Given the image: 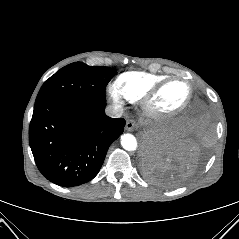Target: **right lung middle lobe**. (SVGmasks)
Listing matches in <instances>:
<instances>
[{
    "mask_svg": "<svg viewBox=\"0 0 239 239\" xmlns=\"http://www.w3.org/2000/svg\"><path fill=\"white\" fill-rule=\"evenodd\" d=\"M115 72L110 67L71 63L44 82L35 103L58 98L106 102L105 88Z\"/></svg>",
    "mask_w": 239,
    "mask_h": 239,
    "instance_id": "dd1d6c3e",
    "label": "right lung middle lobe"
}]
</instances>
